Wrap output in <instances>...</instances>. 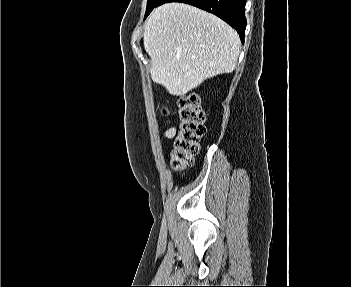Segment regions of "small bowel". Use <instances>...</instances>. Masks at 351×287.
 <instances>
[{
	"instance_id": "small-bowel-1",
	"label": "small bowel",
	"mask_w": 351,
	"mask_h": 287,
	"mask_svg": "<svg viewBox=\"0 0 351 287\" xmlns=\"http://www.w3.org/2000/svg\"><path fill=\"white\" fill-rule=\"evenodd\" d=\"M176 134V127L175 126H171L168 129H166L165 131H163V136L165 138H173Z\"/></svg>"
}]
</instances>
